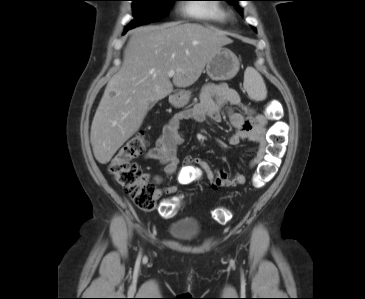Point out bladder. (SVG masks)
Returning <instances> with one entry per match:
<instances>
[{
  "mask_svg": "<svg viewBox=\"0 0 365 299\" xmlns=\"http://www.w3.org/2000/svg\"><path fill=\"white\" fill-rule=\"evenodd\" d=\"M202 230L201 224L194 218H183L170 224L168 232L171 238L189 241L197 237Z\"/></svg>",
  "mask_w": 365,
  "mask_h": 299,
  "instance_id": "31cf9c89",
  "label": "bladder"
}]
</instances>
